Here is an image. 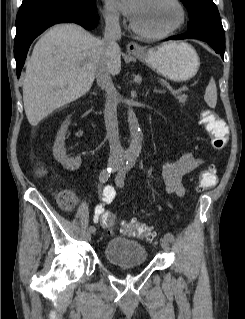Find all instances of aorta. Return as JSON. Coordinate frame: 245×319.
<instances>
[{
	"label": "aorta",
	"instance_id": "aorta-1",
	"mask_svg": "<svg viewBox=\"0 0 245 319\" xmlns=\"http://www.w3.org/2000/svg\"><path fill=\"white\" fill-rule=\"evenodd\" d=\"M128 124L131 136V142L125 152V157L128 161H136L142 147L141 131L139 122L134 110L129 107L128 109Z\"/></svg>",
	"mask_w": 245,
	"mask_h": 319
}]
</instances>
